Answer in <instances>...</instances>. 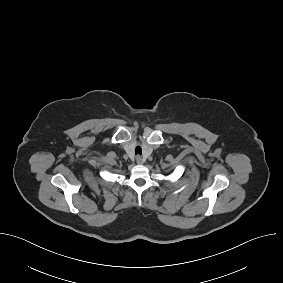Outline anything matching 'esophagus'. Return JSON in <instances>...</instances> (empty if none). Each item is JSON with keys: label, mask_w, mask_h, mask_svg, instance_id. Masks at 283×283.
I'll use <instances>...</instances> for the list:
<instances>
[{"label": "esophagus", "mask_w": 283, "mask_h": 283, "mask_svg": "<svg viewBox=\"0 0 283 283\" xmlns=\"http://www.w3.org/2000/svg\"><path fill=\"white\" fill-rule=\"evenodd\" d=\"M136 163L139 164V165L143 164V159H142L141 156H139V155L136 156Z\"/></svg>", "instance_id": "34e87169"}]
</instances>
